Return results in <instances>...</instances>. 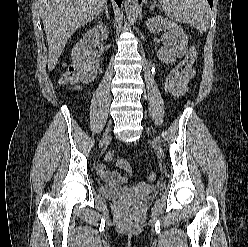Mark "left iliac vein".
Wrapping results in <instances>:
<instances>
[{
    "mask_svg": "<svg viewBox=\"0 0 248 247\" xmlns=\"http://www.w3.org/2000/svg\"><path fill=\"white\" fill-rule=\"evenodd\" d=\"M154 142H155V144L157 143V140L154 138Z\"/></svg>",
    "mask_w": 248,
    "mask_h": 247,
    "instance_id": "4c4485c4",
    "label": "left iliac vein"
}]
</instances>
